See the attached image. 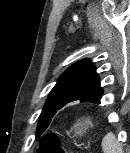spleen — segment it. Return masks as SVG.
<instances>
[{"label":"spleen","instance_id":"1","mask_svg":"<svg viewBox=\"0 0 130 153\" xmlns=\"http://www.w3.org/2000/svg\"><path fill=\"white\" fill-rule=\"evenodd\" d=\"M102 150L104 153H122V147L116 141V137L109 132L102 140Z\"/></svg>","mask_w":130,"mask_h":153}]
</instances>
